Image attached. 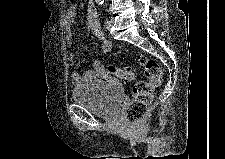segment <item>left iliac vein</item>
I'll use <instances>...</instances> for the list:
<instances>
[{"instance_id": "4c4485c4", "label": "left iliac vein", "mask_w": 225, "mask_h": 159, "mask_svg": "<svg viewBox=\"0 0 225 159\" xmlns=\"http://www.w3.org/2000/svg\"><path fill=\"white\" fill-rule=\"evenodd\" d=\"M113 24H114V20L113 19H110L109 21H108V24L105 26L106 27V29H111L112 28V26H113Z\"/></svg>"}]
</instances>
